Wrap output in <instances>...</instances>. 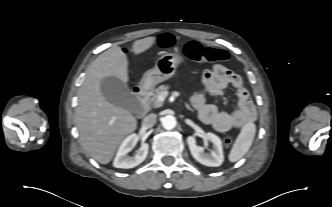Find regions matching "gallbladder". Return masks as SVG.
Wrapping results in <instances>:
<instances>
[{
  "mask_svg": "<svg viewBox=\"0 0 332 207\" xmlns=\"http://www.w3.org/2000/svg\"><path fill=\"white\" fill-rule=\"evenodd\" d=\"M103 97L111 104L127 109L132 113H139L141 106L128 85L117 77H105L100 82Z\"/></svg>",
  "mask_w": 332,
  "mask_h": 207,
  "instance_id": "bac80fb5",
  "label": "gallbladder"
}]
</instances>
